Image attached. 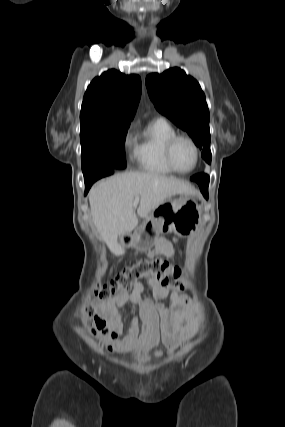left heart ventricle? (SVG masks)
<instances>
[{
    "instance_id": "left-heart-ventricle-1",
    "label": "left heart ventricle",
    "mask_w": 285,
    "mask_h": 427,
    "mask_svg": "<svg viewBox=\"0 0 285 427\" xmlns=\"http://www.w3.org/2000/svg\"><path fill=\"white\" fill-rule=\"evenodd\" d=\"M173 161L176 167L187 171L194 165L195 152L192 145L186 140H179L173 149Z\"/></svg>"
}]
</instances>
